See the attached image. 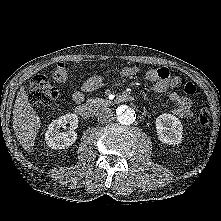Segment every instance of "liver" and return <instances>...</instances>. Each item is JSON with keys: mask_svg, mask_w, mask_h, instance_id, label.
Returning a JSON list of instances; mask_svg holds the SVG:
<instances>
[{"mask_svg": "<svg viewBox=\"0 0 221 221\" xmlns=\"http://www.w3.org/2000/svg\"><path fill=\"white\" fill-rule=\"evenodd\" d=\"M40 126V117L32 108L26 91L21 86L13 108V129L24 150L31 151Z\"/></svg>", "mask_w": 221, "mask_h": 221, "instance_id": "obj_1", "label": "liver"}]
</instances>
